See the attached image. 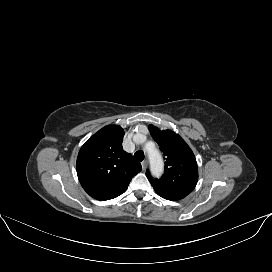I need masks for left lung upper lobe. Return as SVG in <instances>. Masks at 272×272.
I'll return each mask as SVG.
<instances>
[{
    "label": "left lung upper lobe",
    "mask_w": 272,
    "mask_h": 272,
    "mask_svg": "<svg viewBox=\"0 0 272 272\" xmlns=\"http://www.w3.org/2000/svg\"><path fill=\"white\" fill-rule=\"evenodd\" d=\"M153 139L159 144L166 162L165 174L160 179L146 176L155 192L168 200H180L190 194L198 181V167L195 156L186 142L171 130L161 131L149 125Z\"/></svg>",
    "instance_id": "obj_1"
}]
</instances>
